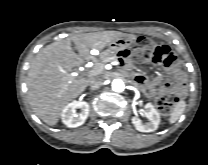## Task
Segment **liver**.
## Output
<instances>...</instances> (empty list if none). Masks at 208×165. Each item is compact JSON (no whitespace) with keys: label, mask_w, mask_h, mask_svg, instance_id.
<instances>
[{"label":"liver","mask_w":208,"mask_h":165,"mask_svg":"<svg viewBox=\"0 0 208 165\" xmlns=\"http://www.w3.org/2000/svg\"><path fill=\"white\" fill-rule=\"evenodd\" d=\"M122 36L124 33L119 31L77 34L43 48L33 60L27 78L28 100L34 113L46 124L56 125L64 107L89 84V80L75 77L70 71L84 60H91V50H102Z\"/></svg>","instance_id":"obj_1"}]
</instances>
